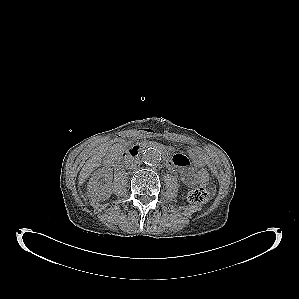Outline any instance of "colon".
Returning <instances> with one entry per match:
<instances>
[{"instance_id":"colon-1","label":"colon","mask_w":299,"mask_h":299,"mask_svg":"<svg viewBox=\"0 0 299 299\" xmlns=\"http://www.w3.org/2000/svg\"><path fill=\"white\" fill-rule=\"evenodd\" d=\"M194 178L200 186L190 190L187 198L193 204H205L211 196V193L205 187L209 179V174L204 168H199L194 172Z\"/></svg>"}]
</instances>
